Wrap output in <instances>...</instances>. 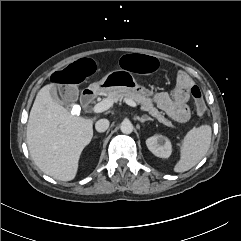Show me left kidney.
Instances as JSON below:
<instances>
[{"instance_id": "obj_1", "label": "left kidney", "mask_w": 241, "mask_h": 241, "mask_svg": "<svg viewBox=\"0 0 241 241\" xmlns=\"http://www.w3.org/2000/svg\"><path fill=\"white\" fill-rule=\"evenodd\" d=\"M148 149L157 157L168 158L172 153L169 139L163 135H154L146 140Z\"/></svg>"}]
</instances>
